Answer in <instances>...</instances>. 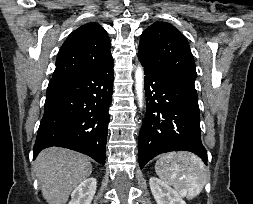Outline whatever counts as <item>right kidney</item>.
Masks as SVG:
<instances>
[{
  "label": "right kidney",
  "mask_w": 253,
  "mask_h": 204,
  "mask_svg": "<svg viewBox=\"0 0 253 204\" xmlns=\"http://www.w3.org/2000/svg\"><path fill=\"white\" fill-rule=\"evenodd\" d=\"M97 181L91 177L80 183L71 194L69 204H91L96 192Z\"/></svg>",
  "instance_id": "right-kidney-1"
}]
</instances>
